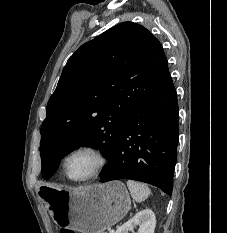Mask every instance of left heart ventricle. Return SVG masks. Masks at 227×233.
Masks as SVG:
<instances>
[{
	"label": "left heart ventricle",
	"mask_w": 227,
	"mask_h": 233,
	"mask_svg": "<svg viewBox=\"0 0 227 233\" xmlns=\"http://www.w3.org/2000/svg\"><path fill=\"white\" fill-rule=\"evenodd\" d=\"M97 164L96 158L88 152H80L74 155L68 165L72 178L79 179L90 174Z\"/></svg>",
	"instance_id": "b2bd125f"
}]
</instances>
